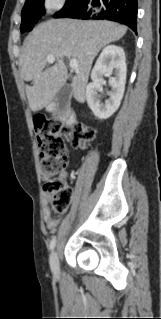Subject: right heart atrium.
Returning a JSON list of instances; mask_svg holds the SVG:
<instances>
[{
    "mask_svg": "<svg viewBox=\"0 0 161 319\" xmlns=\"http://www.w3.org/2000/svg\"><path fill=\"white\" fill-rule=\"evenodd\" d=\"M66 0H44L43 6L48 12H54L61 9Z\"/></svg>",
    "mask_w": 161,
    "mask_h": 319,
    "instance_id": "obj_1",
    "label": "right heart atrium"
}]
</instances>
